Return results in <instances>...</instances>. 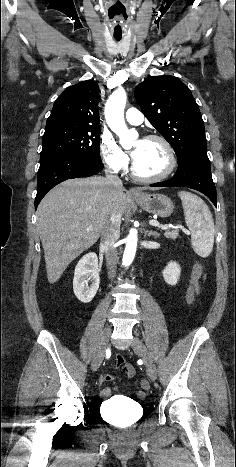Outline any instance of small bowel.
<instances>
[{
    "label": "small bowel",
    "mask_w": 236,
    "mask_h": 467,
    "mask_svg": "<svg viewBox=\"0 0 236 467\" xmlns=\"http://www.w3.org/2000/svg\"><path fill=\"white\" fill-rule=\"evenodd\" d=\"M189 289H190V287H189ZM189 289H188V291H189ZM200 289H201V284H200V281H199L198 284L193 289L194 295H197L200 292ZM114 365H115V368H121L127 378H132L135 375L134 366L132 364H130V363L125 362L123 357L120 356V355L116 356ZM112 379H113L112 374H104V375H102L100 377V383L104 384V383L112 381ZM100 395L102 397L110 396L111 395V389L108 388V387H103L101 389V391H100Z\"/></svg>",
    "instance_id": "1"
}]
</instances>
